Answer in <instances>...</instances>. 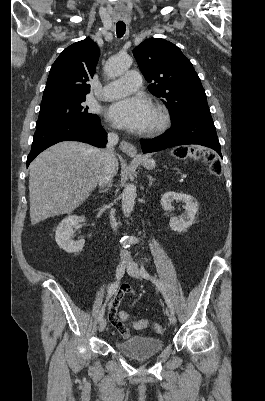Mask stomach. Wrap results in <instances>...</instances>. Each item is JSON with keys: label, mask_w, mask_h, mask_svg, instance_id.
Segmentation results:
<instances>
[{"label": "stomach", "mask_w": 265, "mask_h": 401, "mask_svg": "<svg viewBox=\"0 0 265 401\" xmlns=\"http://www.w3.org/2000/svg\"><path fill=\"white\" fill-rule=\"evenodd\" d=\"M133 158H137V160H139V162H141L145 168H149V170L150 168H155L156 166L154 158H150L148 154H142V156H133Z\"/></svg>", "instance_id": "1"}]
</instances>
